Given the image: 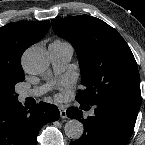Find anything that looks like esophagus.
I'll list each match as a JSON object with an SVG mask.
<instances>
[{"label": "esophagus", "mask_w": 145, "mask_h": 145, "mask_svg": "<svg viewBox=\"0 0 145 145\" xmlns=\"http://www.w3.org/2000/svg\"><path fill=\"white\" fill-rule=\"evenodd\" d=\"M59 111H60L61 118H63V119L67 118L66 109L63 106L59 107Z\"/></svg>", "instance_id": "34e87169"}]
</instances>
